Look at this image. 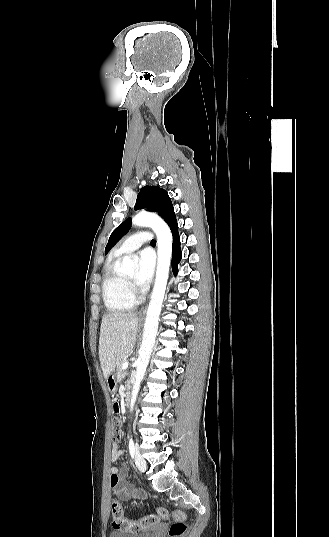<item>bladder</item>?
Listing matches in <instances>:
<instances>
[{"label": "bladder", "instance_id": "bladder-1", "mask_svg": "<svg viewBox=\"0 0 329 537\" xmlns=\"http://www.w3.org/2000/svg\"><path fill=\"white\" fill-rule=\"evenodd\" d=\"M158 531V528H153L149 531L138 533H126L121 531H113L108 537H154V534Z\"/></svg>", "mask_w": 329, "mask_h": 537}]
</instances>
